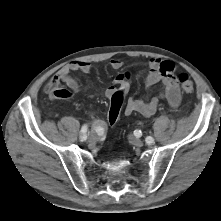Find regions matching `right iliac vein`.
I'll list each match as a JSON object with an SVG mask.
<instances>
[{
  "instance_id": "63e3f726",
  "label": "right iliac vein",
  "mask_w": 221,
  "mask_h": 221,
  "mask_svg": "<svg viewBox=\"0 0 221 221\" xmlns=\"http://www.w3.org/2000/svg\"><path fill=\"white\" fill-rule=\"evenodd\" d=\"M96 140H97L96 134H95V133H90V134H89V137H88L89 143H93V142H95Z\"/></svg>"
}]
</instances>
